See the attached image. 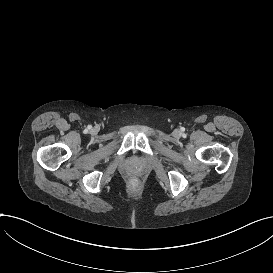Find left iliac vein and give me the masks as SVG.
I'll return each instance as SVG.
<instances>
[{"label": "left iliac vein", "mask_w": 273, "mask_h": 273, "mask_svg": "<svg viewBox=\"0 0 273 273\" xmlns=\"http://www.w3.org/2000/svg\"><path fill=\"white\" fill-rule=\"evenodd\" d=\"M173 135H174L175 137H179V136H180V131H179L178 129L174 130V131H173Z\"/></svg>", "instance_id": "4c4485c4"}]
</instances>
